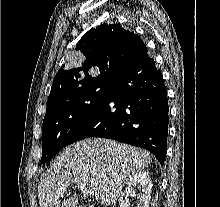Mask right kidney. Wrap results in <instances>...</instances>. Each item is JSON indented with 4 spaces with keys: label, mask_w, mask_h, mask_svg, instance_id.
Returning a JSON list of instances; mask_svg holds the SVG:
<instances>
[{
    "label": "right kidney",
    "mask_w": 220,
    "mask_h": 207,
    "mask_svg": "<svg viewBox=\"0 0 220 207\" xmlns=\"http://www.w3.org/2000/svg\"><path fill=\"white\" fill-rule=\"evenodd\" d=\"M136 187L140 190V193L137 195V207H149L152 182L149 173L146 171L138 172L130 178L120 199L119 207H129V197L135 196Z\"/></svg>",
    "instance_id": "1"
}]
</instances>
